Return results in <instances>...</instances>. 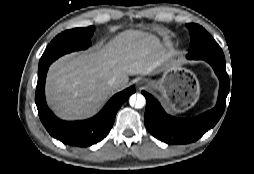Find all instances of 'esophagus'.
<instances>
[{
    "label": "esophagus",
    "mask_w": 254,
    "mask_h": 174,
    "mask_svg": "<svg viewBox=\"0 0 254 174\" xmlns=\"http://www.w3.org/2000/svg\"><path fill=\"white\" fill-rule=\"evenodd\" d=\"M137 85L140 89H143V88H146L149 86V82L147 80H142V81L138 82Z\"/></svg>",
    "instance_id": "esophagus-1"
}]
</instances>
